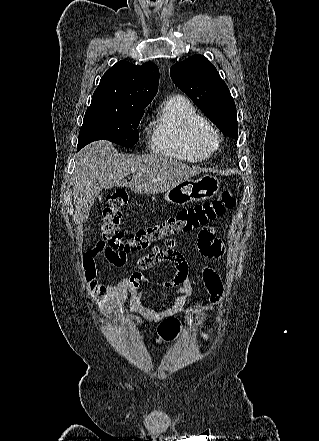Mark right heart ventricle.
<instances>
[{
    "instance_id": "right-heart-ventricle-1",
    "label": "right heart ventricle",
    "mask_w": 319,
    "mask_h": 441,
    "mask_svg": "<svg viewBox=\"0 0 319 441\" xmlns=\"http://www.w3.org/2000/svg\"><path fill=\"white\" fill-rule=\"evenodd\" d=\"M211 125L186 98L168 99L150 124L153 152L167 157L198 162L209 158L216 147L207 139Z\"/></svg>"
}]
</instances>
